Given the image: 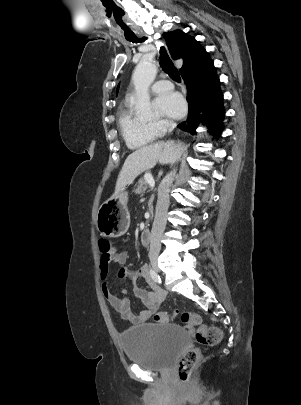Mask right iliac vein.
Masks as SVG:
<instances>
[{
  "label": "right iliac vein",
  "instance_id": "right-iliac-vein-1",
  "mask_svg": "<svg viewBox=\"0 0 301 405\" xmlns=\"http://www.w3.org/2000/svg\"><path fill=\"white\" fill-rule=\"evenodd\" d=\"M150 262H151V265H152V267L154 268V270L159 271V270H158V267H157V257L154 256V255L151 256Z\"/></svg>",
  "mask_w": 301,
  "mask_h": 405
}]
</instances>
